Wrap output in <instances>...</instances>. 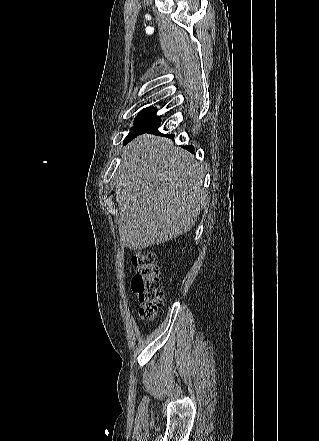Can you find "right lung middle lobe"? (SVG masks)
Here are the masks:
<instances>
[{
  "instance_id": "1",
  "label": "right lung middle lobe",
  "mask_w": 319,
  "mask_h": 441,
  "mask_svg": "<svg viewBox=\"0 0 319 441\" xmlns=\"http://www.w3.org/2000/svg\"><path fill=\"white\" fill-rule=\"evenodd\" d=\"M156 112V108L150 107L143 109L136 117L135 126L131 129L130 133L125 138L124 144L138 136L145 128L158 120L160 116H156Z\"/></svg>"
}]
</instances>
